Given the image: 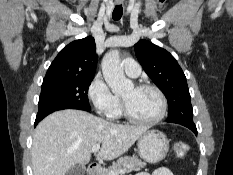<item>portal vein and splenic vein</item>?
Wrapping results in <instances>:
<instances>
[{"label": "portal vein and splenic vein", "mask_w": 233, "mask_h": 175, "mask_svg": "<svg viewBox=\"0 0 233 175\" xmlns=\"http://www.w3.org/2000/svg\"><path fill=\"white\" fill-rule=\"evenodd\" d=\"M99 149H100V144H96V145H94L93 147H92V152L93 153H96V152H98L99 151ZM126 172V170L124 169V170H120V171H117V172H111L110 173V175H119V174H124Z\"/></svg>", "instance_id": "portal-vein-and-splenic-vein-1"}]
</instances>
